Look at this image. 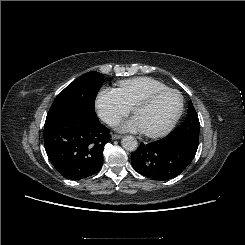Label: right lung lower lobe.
I'll return each instance as SVG.
<instances>
[{"mask_svg": "<svg viewBox=\"0 0 245 245\" xmlns=\"http://www.w3.org/2000/svg\"><path fill=\"white\" fill-rule=\"evenodd\" d=\"M110 130L78 112L49 114L44 125V145L53 166L65 178L80 180L102 167L103 149Z\"/></svg>", "mask_w": 245, "mask_h": 245, "instance_id": "obj_1", "label": "right lung lower lobe"}]
</instances>
